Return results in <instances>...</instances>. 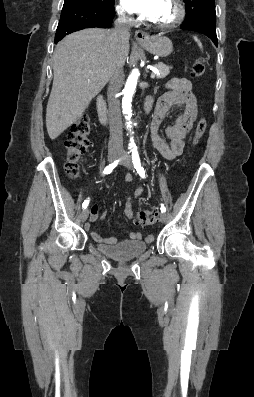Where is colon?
Returning a JSON list of instances; mask_svg holds the SVG:
<instances>
[{
  "instance_id": "obj_1",
  "label": "colon",
  "mask_w": 254,
  "mask_h": 397,
  "mask_svg": "<svg viewBox=\"0 0 254 397\" xmlns=\"http://www.w3.org/2000/svg\"><path fill=\"white\" fill-rule=\"evenodd\" d=\"M205 71V63L202 57H197L192 66V74L195 77H201ZM207 128V121L201 118L195 128L192 138V145L195 147L199 144L202 136ZM91 131V123L88 116L83 115L75 121L68 133L65 141L67 150L66 155V172L71 178H75L79 174L80 163L84 158V154L89 145L88 136ZM135 222L142 226L153 225L157 223L158 216L154 210H141L135 214Z\"/></svg>"
}]
</instances>
